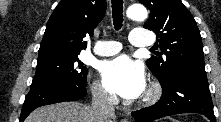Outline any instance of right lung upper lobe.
I'll list each match as a JSON object with an SVG mask.
<instances>
[{"label":"right lung upper lobe","instance_id":"1","mask_svg":"<svg viewBox=\"0 0 221 122\" xmlns=\"http://www.w3.org/2000/svg\"><path fill=\"white\" fill-rule=\"evenodd\" d=\"M105 11L106 0H61L47 23L38 59L79 55L87 46L83 38L93 34Z\"/></svg>","mask_w":221,"mask_h":122}]
</instances>
